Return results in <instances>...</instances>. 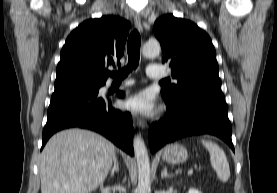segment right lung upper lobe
Returning <instances> with one entry per match:
<instances>
[{
  "label": "right lung upper lobe",
  "mask_w": 277,
  "mask_h": 193,
  "mask_svg": "<svg viewBox=\"0 0 277 193\" xmlns=\"http://www.w3.org/2000/svg\"><path fill=\"white\" fill-rule=\"evenodd\" d=\"M129 29L128 21L113 15L80 24L61 50L55 91L103 86L109 76L107 67L120 63Z\"/></svg>",
  "instance_id": "cb5924a9"
}]
</instances>
